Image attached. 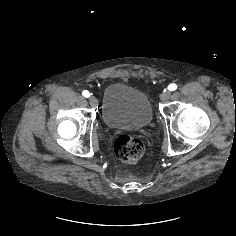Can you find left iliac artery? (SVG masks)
I'll return each mask as SVG.
<instances>
[{
	"label": "left iliac artery",
	"instance_id": "1",
	"mask_svg": "<svg viewBox=\"0 0 236 236\" xmlns=\"http://www.w3.org/2000/svg\"><path fill=\"white\" fill-rule=\"evenodd\" d=\"M176 89H177V85L174 84V83H172V84H170V85L168 86V90H170V91H174V90H176Z\"/></svg>",
	"mask_w": 236,
	"mask_h": 236
}]
</instances>
